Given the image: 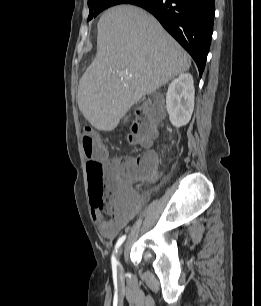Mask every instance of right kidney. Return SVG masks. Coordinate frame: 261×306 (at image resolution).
I'll use <instances>...</instances> for the list:
<instances>
[{
	"instance_id": "ca27d5eb",
	"label": "right kidney",
	"mask_w": 261,
	"mask_h": 306,
	"mask_svg": "<svg viewBox=\"0 0 261 306\" xmlns=\"http://www.w3.org/2000/svg\"><path fill=\"white\" fill-rule=\"evenodd\" d=\"M194 81L191 74H181L174 79L166 94V108L170 122L175 127L186 125L194 109Z\"/></svg>"
}]
</instances>
